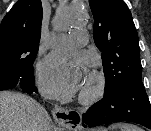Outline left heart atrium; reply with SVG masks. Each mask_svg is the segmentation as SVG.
<instances>
[{"label":"left heart atrium","instance_id":"1","mask_svg":"<svg viewBox=\"0 0 151 131\" xmlns=\"http://www.w3.org/2000/svg\"><path fill=\"white\" fill-rule=\"evenodd\" d=\"M87 79V63L79 54H52L39 70L41 91L50 98H66L77 93Z\"/></svg>","mask_w":151,"mask_h":131}]
</instances>
